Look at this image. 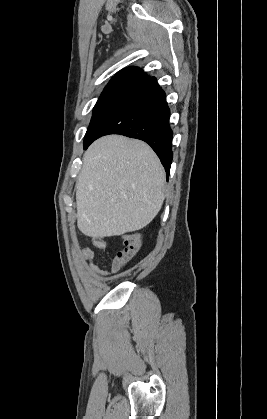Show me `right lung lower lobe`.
<instances>
[{
    "mask_svg": "<svg viewBox=\"0 0 267 419\" xmlns=\"http://www.w3.org/2000/svg\"><path fill=\"white\" fill-rule=\"evenodd\" d=\"M169 117L170 110L165 93L156 79L151 77L130 92L102 119L89 145L108 134H121L143 140L160 158L168 179L173 158V132L169 125Z\"/></svg>",
    "mask_w": 267,
    "mask_h": 419,
    "instance_id": "obj_1",
    "label": "right lung lower lobe"
}]
</instances>
